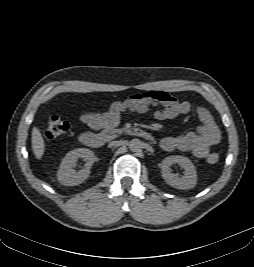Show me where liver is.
I'll return each instance as SVG.
<instances>
[{
  "label": "liver",
  "instance_id": "obj_1",
  "mask_svg": "<svg viewBox=\"0 0 254 267\" xmlns=\"http://www.w3.org/2000/svg\"><path fill=\"white\" fill-rule=\"evenodd\" d=\"M32 151L36 159L40 160L44 155L45 142L40 131L33 127L32 129Z\"/></svg>",
  "mask_w": 254,
  "mask_h": 267
}]
</instances>
